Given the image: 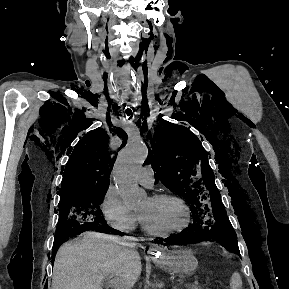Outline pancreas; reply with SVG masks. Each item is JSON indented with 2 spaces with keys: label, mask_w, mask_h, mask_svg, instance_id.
<instances>
[{
  "label": "pancreas",
  "mask_w": 289,
  "mask_h": 289,
  "mask_svg": "<svg viewBox=\"0 0 289 289\" xmlns=\"http://www.w3.org/2000/svg\"><path fill=\"white\" fill-rule=\"evenodd\" d=\"M189 289H202L200 286L197 287H189Z\"/></svg>",
  "instance_id": "1"
}]
</instances>
